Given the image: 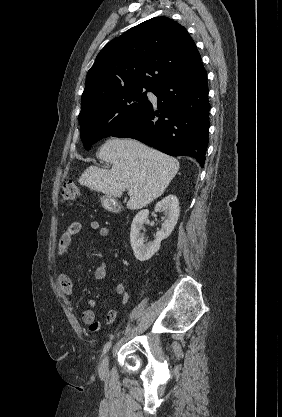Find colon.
<instances>
[{
	"label": "colon",
	"mask_w": 282,
	"mask_h": 417,
	"mask_svg": "<svg viewBox=\"0 0 282 417\" xmlns=\"http://www.w3.org/2000/svg\"><path fill=\"white\" fill-rule=\"evenodd\" d=\"M80 193V187L77 183L69 181L63 184L60 197L64 201H71L77 198Z\"/></svg>",
	"instance_id": "obj_1"
}]
</instances>
